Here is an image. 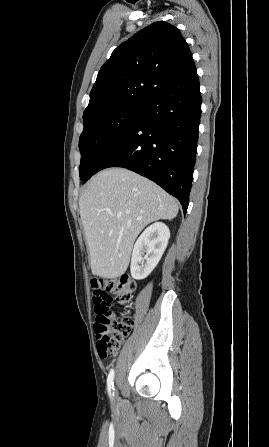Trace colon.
<instances>
[{
    "label": "colon",
    "instance_id": "obj_1",
    "mask_svg": "<svg viewBox=\"0 0 269 447\" xmlns=\"http://www.w3.org/2000/svg\"><path fill=\"white\" fill-rule=\"evenodd\" d=\"M135 286V280L128 274L113 279L93 277L89 282L91 300L97 313L93 326L97 338L96 346L102 358L111 356L134 327V319L128 316L124 309L131 304ZM113 302L121 309L116 314L112 312Z\"/></svg>",
    "mask_w": 269,
    "mask_h": 447
}]
</instances>
